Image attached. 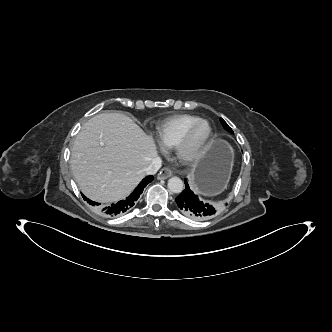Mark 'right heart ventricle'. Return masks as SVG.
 I'll return each mask as SVG.
<instances>
[{
	"label": "right heart ventricle",
	"instance_id": "e07e8e85",
	"mask_svg": "<svg viewBox=\"0 0 332 332\" xmlns=\"http://www.w3.org/2000/svg\"><path fill=\"white\" fill-rule=\"evenodd\" d=\"M199 119L188 114L170 117L156 126V138L164 148H174L187 129Z\"/></svg>",
	"mask_w": 332,
	"mask_h": 332
}]
</instances>
